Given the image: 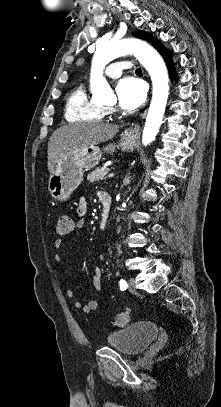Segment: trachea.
Instances as JSON below:
<instances>
[{"mask_svg": "<svg viewBox=\"0 0 221 407\" xmlns=\"http://www.w3.org/2000/svg\"><path fill=\"white\" fill-rule=\"evenodd\" d=\"M136 73H141V68H137Z\"/></svg>", "mask_w": 221, "mask_h": 407, "instance_id": "1", "label": "trachea"}]
</instances>
